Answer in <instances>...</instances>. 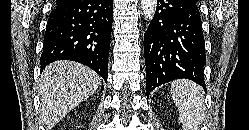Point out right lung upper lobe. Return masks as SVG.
<instances>
[{"label": "right lung upper lobe", "mask_w": 249, "mask_h": 130, "mask_svg": "<svg viewBox=\"0 0 249 130\" xmlns=\"http://www.w3.org/2000/svg\"><path fill=\"white\" fill-rule=\"evenodd\" d=\"M69 0H57L56 1V7L57 6H61V5H63V4H65L66 2H68Z\"/></svg>", "instance_id": "right-lung-upper-lobe-1"}]
</instances>
